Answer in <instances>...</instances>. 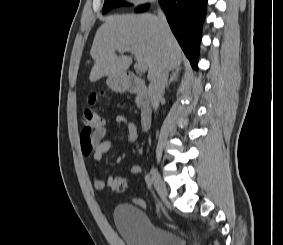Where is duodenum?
I'll return each instance as SVG.
<instances>
[{
  "label": "duodenum",
  "mask_w": 283,
  "mask_h": 245,
  "mask_svg": "<svg viewBox=\"0 0 283 245\" xmlns=\"http://www.w3.org/2000/svg\"><path fill=\"white\" fill-rule=\"evenodd\" d=\"M121 88L137 95L141 127L143 130L149 129L152 119V110L148 96V89L145 83L135 74L129 72L123 77L121 81Z\"/></svg>",
  "instance_id": "1"
}]
</instances>
